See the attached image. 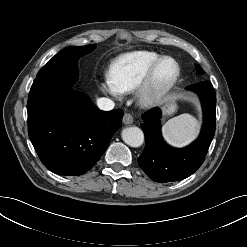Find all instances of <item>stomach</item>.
<instances>
[{
  "instance_id": "0dacf381",
  "label": "stomach",
  "mask_w": 247,
  "mask_h": 247,
  "mask_svg": "<svg viewBox=\"0 0 247 247\" xmlns=\"http://www.w3.org/2000/svg\"><path fill=\"white\" fill-rule=\"evenodd\" d=\"M176 108H177L176 103L173 102V101H170V102H168V103L165 105L164 113H165L166 115H170V114H172V113H174V112L176 111Z\"/></svg>"
}]
</instances>
